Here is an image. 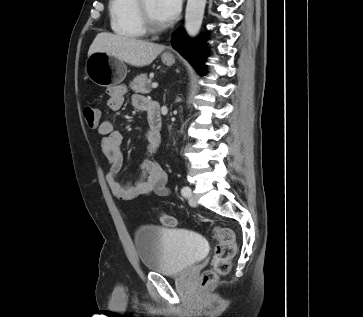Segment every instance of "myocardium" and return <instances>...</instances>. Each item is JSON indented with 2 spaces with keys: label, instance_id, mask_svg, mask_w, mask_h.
Returning <instances> with one entry per match:
<instances>
[{
  "label": "myocardium",
  "instance_id": "1",
  "mask_svg": "<svg viewBox=\"0 0 363 317\" xmlns=\"http://www.w3.org/2000/svg\"><path fill=\"white\" fill-rule=\"evenodd\" d=\"M136 12L143 28L150 33H158L164 30V25H159L150 17L146 7L145 0H137Z\"/></svg>",
  "mask_w": 363,
  "mask_h": 317
}]
</instances>
